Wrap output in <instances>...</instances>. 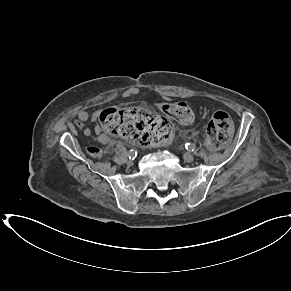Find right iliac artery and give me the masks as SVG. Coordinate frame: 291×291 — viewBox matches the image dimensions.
<instances>
[{
    "mask_svg": "<svg viewBox=\"0 0 291 291\" xmlns=\"http://www.w3.org/2000/svg\"><path fill=\"white\" fill-rule=\"evenodd\" d=\"M136 156H137V151L131 149V150L128 152V157H129V159H134Z\"/></svg>",
    "mask_w": 291,
    "mask_h": 291,
    "instance_id": "1",
    "label": "right iliac artery"
}]
</instances>
